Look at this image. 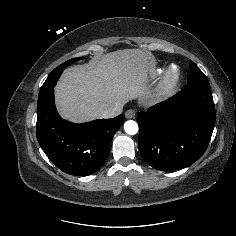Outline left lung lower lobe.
Returning a JSON list of instances; mask_svg holds the SVG:
<instances>
[{
	"instance_id": "1",
	"label": "left lung lower lobe",
	"mask_w": 236,
	"mask_h": 236,
	"mask_svg": "<svg viewBox=\"0 0 236 236\" xmlns=\"http://www.w3.org/2000/svg\"><path fill=\"white\" fill-rule=\"evenodd\" d=\"M142 157L160 171L185 168L206 151L215 125L208 81L188 83L166 102L137 115Z\"/></svg>"
}]
</instances>
